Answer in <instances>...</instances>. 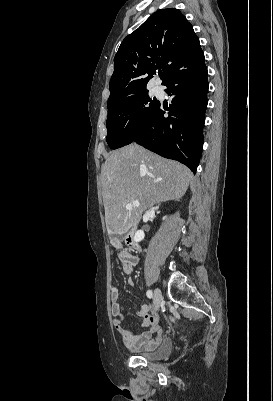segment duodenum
Instances as JSON below:
<instances>
[{
    "label": "duodenum",
    "mask_w": 273,
    "mask_h": 401,
    "mask_svg": "<svg viewBox=\"0 0 273 401\" xmlns=\"http://www.w3.org/2000/svg\"><path fill=\"white\" fill-rule=\"evenodd\" d=\"M127 243H128L130 246H132V247H136V244H135V242H134V240H133L132 233L128 235V237H127Z\"/></svg>",
    "instance_id": "1"
}]
</instances>
